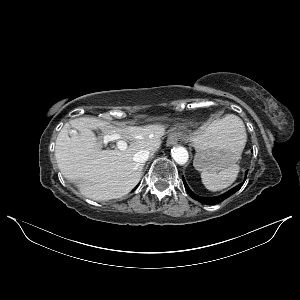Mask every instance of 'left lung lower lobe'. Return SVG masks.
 <instances>
[{
    "label": "left lung lower lobe",
    "mask_w": 300,
    "mask_h": 300,
    "mask_svg": "<svg viewBox=\"0 0 300 300\" xmlns=\"http://www.w3.org/2000/svg\"><path fill=\"white\" fill-rule=\"evenodd\" d=\"M246 175H247V172H246ZM183 179V183H184V186H185V189L187 190L188 194L195 200L201 202L202 204H206V205H215V204H218L222 201H224L226 198H228L229 196L233 195L234 193H236L243 185V183L237 185L236 187L232 188L231 190H229L228 192L222 194V195H219V196H216V197H201V196H198L196 194H194L191 189L188 187L187 183L185 182V179Z\"/></svg>",
    "instance_id": "1"
}]
</instances>
